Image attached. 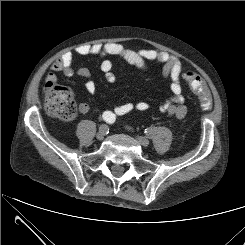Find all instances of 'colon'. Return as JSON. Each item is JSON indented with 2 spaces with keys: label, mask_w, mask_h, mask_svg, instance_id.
<instances>
[{
  "label": "colon",
  "mask_w": 245,
  "mask_h": 245,
  "mask_svg": "<svg viewBox=\"0 0 245 245\" xmlns=\"http://www.w3.org/2000/svg\"><path fill=\"white\" fill-rule=\"evenodd\" d=\"M186 80L190 89L200 99L202 108H210V92L202 77L190 71L186 73ZM45 98V106L49 114L66 121L72 120L75 117L77 105L69 87L54 82H47L45 85Z\"/></svg>",
  "instance_id": "obj_1"
}]
</instances>
